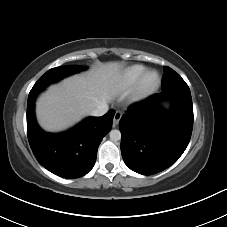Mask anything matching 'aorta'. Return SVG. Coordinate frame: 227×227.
<instances>
[{
    "instance_id": "obj_1",
    "label": "aorta",
    "mask_w": 227,
    "mask_h": 227,
    "mask_svg": "<svg viewBox=\"0 0 227 227\" xmlns=\"http://www.w3.org/2000/svg\"><path fill=\"white\" fill-rule=\"evenodd\" d=\"M109 136L111 141L116 142L121 139V132L117 129L111 130Z\"/></svg>"
}]
</instances>
